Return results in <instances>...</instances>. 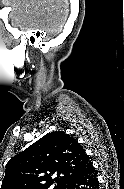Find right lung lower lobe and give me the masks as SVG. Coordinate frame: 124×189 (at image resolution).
I'll use <instances>...</instances> for the list:
<instances>
[{"label": "right lung lower lobe", "mask_w": 124, "mask_h": 189, "mask_svg": "<svg viewBox=\"0 0 124 189\" xmlns=\"http://www.w3.org/2000/svg\"><path fill=\"white\" fill-rule=\"evenodd\" d=\"M99 189L97 173L92 163L84 171L67 181L62 189Z\"/></svg>", "instance_id": "obj_1"}]
</instances>
